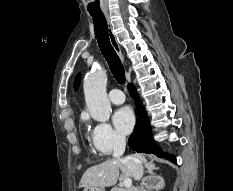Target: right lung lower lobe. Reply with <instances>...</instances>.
<instances>
[{
  "label": "right lung lower lobe",
  "instance_id": "1",
  "mask_svg": "<svg viewBox=\"0 0 233 191\" xmlns=\"http://www.w3.org/2000/svg\"><path fill=\"white\" fill-rule=\"evenodd\" d=\"M129 90L131 95L137 102V124L135 126L134 132L129 137V146L131 149L137 152L153 153L158 157H164L173 163H176L175 156L166 155L161 152L156 143L153 140L150 123L147 118L145 109L143 105L138 101L136 96V91L132 85H129Z\"/></svg>",
  "mask_w": 233,
  "mask_h": 191
}]
</instances>
